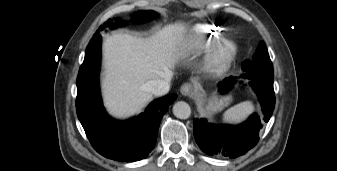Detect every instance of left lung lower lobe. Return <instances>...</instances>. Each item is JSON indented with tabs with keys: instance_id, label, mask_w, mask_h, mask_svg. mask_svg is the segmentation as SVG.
<instances>
[{
	"instance_id": "left-lung-lower-lobe-1",
	"label": "left lung lower lobe",
	"mask_w": 337,
	"mask_h": 171,
	"mask_svg": "<svg viewBox=\"0 0 337 171\" xmlns=\"http://www.w3.org/2000/svg\"><path fill=\"white\" fill-rule=\"evenodd\" d=\"M242 77L251 80L250 85L257 93L262 113L260 116L251 115L246 122L238 126L221 125L218 127L207 123L204 119H194L195 140L201 150L210 156L232 159L246 154L257 144L259 132L272 116L275 107L274 74L246 71ZM235 82L232 76L219 82L221 93L232 89Z\"/></svg>"
}]
</instances>
